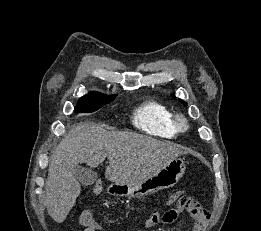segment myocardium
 Returning <instances> with one entry per match:
<instances>
[{
    "instance_id": "obj_1",
    "label": "myocardium",
    "mask_w": 261,
    "mask_h": 231,
    "mask_svg": "<svg viewBox=\"0 0 261 231\" xmlns=\"http://www.w3.org/2000/svg\"><path fill=\"white\" fill-rule=\"evenodd\" d=\"M173 123L178 132H186L190 128L187 118L182 114L174 115Z\"/></svg>"
}]
</instances>
